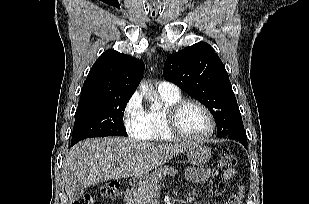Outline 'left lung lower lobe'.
<instances>
[{
	"mask_svg": "<svg viewBox=\"0 0 309 204\" xmlns=\"http://www.w3.org/2000/svg\"><path fill=\"white\" fill-rule=\"evenodd\" d=\"M232 140H236L240 142L244 147H247V136L246 131L244 129L230 132L229 134L223 136ZM222 138V137H220Z\"/></svg>",
	"mask_w": 309,
	"mask_h": 204,
	"instance_id": "obj_1",
	"label": "left lung lower lobe"
}]
</instances>
